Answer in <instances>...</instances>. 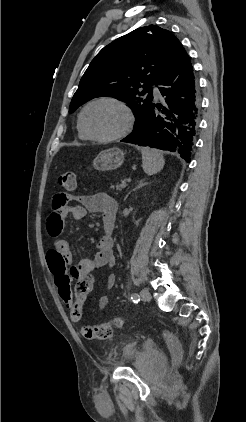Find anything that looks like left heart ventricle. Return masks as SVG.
I'll use <instances>...</instances> for the list:
<instances>
[{"instance_id":"obj_1","label":"left heart ventricle","mask_w":246,"mask_h":422,"mask_svg":"<svg viewBox=\"0 0 246 422\" xmlns=\"http://www.w3.org/2000/svg\"><path fill=\"white\" fill-rule=\"evenodd\" d=\"M85 123L92 134L110 136L118 133L124 127L125 115L117 105L101 102L87 110Z\"/></svg>"}]
</instances>
